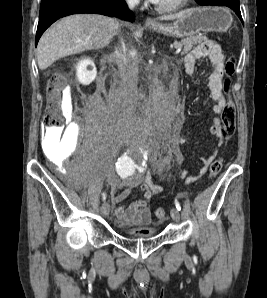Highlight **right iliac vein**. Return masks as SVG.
<instances>
[{
    "mask_svg": "<svg viewBox=\"0 0 267 298\" xmlns=\"http://www.w3.org/2000/svg\"><path fill=\"white\" fill-rule=\"evenodd\" d=\"M109 210H110V207H109L108 202H104L100 208L101 214L103 216H107L109 214Z\"/></svg>",
    "mask_w": 267,
    "mask_h": 298,
    "instance_id": "obj_1",
    "label": "right iliac vein"
}]
</instances>
